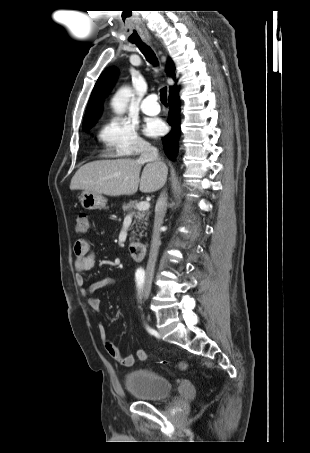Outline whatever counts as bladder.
I'll use <instances>...</instances> for the list:
<instances>
[{
    "mask_svg": "<svg viewBox=\"0 0 310 453\" xmlns=\"http://www.w3.org/2000/svg\"><path fill=\"white\" fill-rule=\"evenodd\" d=\"M125 388L136 399L145 402L160 401L172 393L168 378L151 369H138L128 373Z\"/></svg>",
    "mask_w": 310,
    "mask_h": 453,
    "instance_id": "1",
    "label": "bladder"
}]
</instances>
